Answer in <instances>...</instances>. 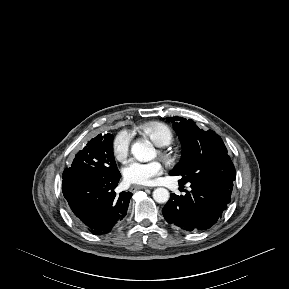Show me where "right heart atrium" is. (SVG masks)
I'll return each instance as SVG.
<instances>
[{"label":"right heart atrium","mask_w":289,"mask_h":289,"mask_svg":"<svg viewBox=\"0 0 289 289\" xmlns=\"http://www.w3.org/2000/svg\"><path fill=\"white\" fill-rule=\"evenodd\" d=\"M132 136L127 130H122L116 134L112 141V151L115 158L124 161L130 151Z\"/></svg>","instance_id":"obj_1"}]
</instances>
